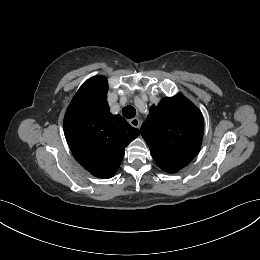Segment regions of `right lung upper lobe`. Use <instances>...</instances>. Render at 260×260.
<instances>
[{"instance_id":"cb5924a9","label":"right lung upper lobe","mask_w":260,"mask_h":260,"mask_svg":"<svg viewBox=\"0 0 260 260\" xmlns=\"http://www.w3.org/2000/svg\"><path fill=\"white\" fill-rule=\"evenodd\" d=\"M107 91L104 76L88 79L64 118L65 137L75 159L92 175L104 179L116 173L125 147L140 135L122 116L111 114Z\"/></svg>"}]
</instances>
